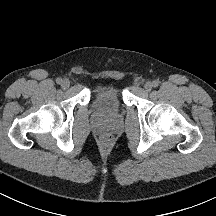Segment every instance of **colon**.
<instances>
[{
    "label": "colon",
    "instance_id": "1",
    "mask_svg": "<svg viewBox=\"0 0 216 216\" xmlns=\"http://www.w3.org/2000/svg\"><path fill=\"white\" fill-rule=\"evenodd\" d=\"M103 147H109L112 144V136L109 134H103L99 140Z\"/></svg>",
    "mask_w": 216,
    "mask_h": 216
}]
</instances>
